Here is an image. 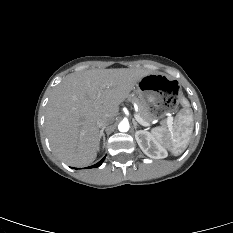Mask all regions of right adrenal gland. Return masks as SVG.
<instances>
[{"label": "right adrenal gland", "mask_w": 233, "mask_h": 233, "mask_svg": "<svg viewBox=\"0 0 233 233\" xmlns=\"http://www.w3.org/2000/svg\"><path fill=\"white\" fill-rule=\"evenodd\" d=\"M100 133H101V137L103 138V143H104L105 142L104 129H101Z\"/></svg>", "instance_id": "obj_1"}]
</instances>
